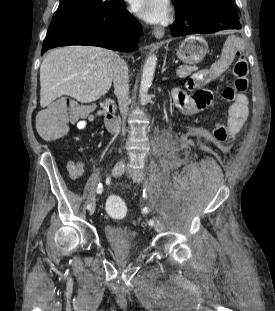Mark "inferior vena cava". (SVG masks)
I'll use <instances>...</instances> for the list:
<instances>
[{"mask_svg": "<svg viewBox=\"0 0 275 311\" xmlns=\"http://www.w3.org/2000/svg\"><path fill=\"white\" fill-rule=\"evenodd\" d=\"M113 82L115 94L118 99L119 109L122 117L125 119L128 113V91L129 77L128 66L119 56L113 57Z\"/></svg>", "mask_w": 275, "mask_h": 311, "instance_id": "1", "label": "inferior vena cava"}]
</instances>
